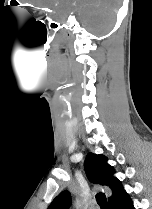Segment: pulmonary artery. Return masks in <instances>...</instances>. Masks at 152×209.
<instances>
[{"instance_id": "obj_1", "label": "pulmonary artery", "mask_w": 152, "mask_h": 209, "mask_svg": "<svg viewBox=\"0 0 152 209\" xmlns=\"http://www.w3.org/2000/svg\"><path fill=\"white\" fill-rule=\"evenodd\" d=\"M90 209H97V207L96 206H91Z\"/></svg>"}]
</instances>
